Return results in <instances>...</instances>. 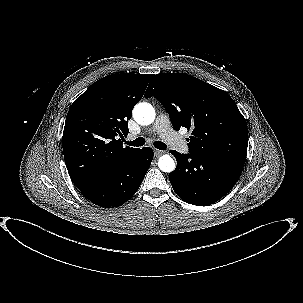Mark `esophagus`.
<instances>
[{
    "label": "esophagus",
    "instance_id": "1",
    "mask_svg": "<svg viewBox=\"0 0 303 303\" xmlns=\"http://www.w3.org/2000/svg\"><path fill=\"white\" fill-rule=\"evenodd\" d=\"M164 153H165V151H161V150H157V149L154 150V154H155L156 157H160Z\"/></svg>",
    "mask_w": 303,
    "mask_h": 303
}]
</instances>
